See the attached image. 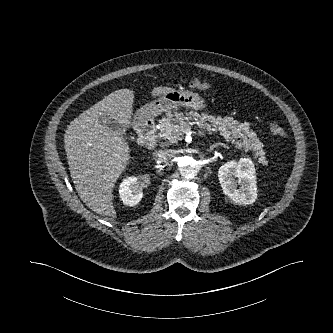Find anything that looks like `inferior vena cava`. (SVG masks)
<instances>
[{"label": "inferior vena cava", "mask_w": 333, "mask_h": 333, "mask_svg": "<svg viewBox=\"0 0 333 333\" xmlns=\"http://www.w3.org/2000/svg\"><path fill=\"white\" fill-rule=\"evenodd\" d=\"M153 156L160 162H167L174 157V150H158L153 153Z\"/></svg>", "instance_id": "602c4592"}]
</instances>
